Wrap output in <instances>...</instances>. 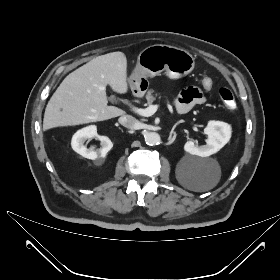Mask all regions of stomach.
<instances>
[{
  "instance_id": "stomach-1",
  "label": "stomach",
  "mask_w": 280,
  "mask_h": 280,
  "mask_svg": "<svg viewBox=\"0 0 280 280\" xmlns=\"http://www.w3.org/2000/svg\"><path fill=\"white\" fill-rule=\"evenodd\" d=\"M194 66L193 56L184 49L163 44L151 45L140 52L129 84L131 89L142 92L149 77L164 72L168 78L175 80L191 73Z\"/></svg>"
}]
</instances>
